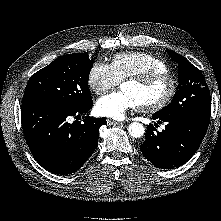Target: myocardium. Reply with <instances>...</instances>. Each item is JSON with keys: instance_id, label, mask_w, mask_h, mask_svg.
<instances>
[{"instance_id": "obj_1", "label": "myocardium", "mask_w": 221, "mask_h": 221, "mask_svg": "<svg viewBox=\"0 0 221 221\" xmlns=\"http://www.w3.org/2000/svg\"><path fill=\"white\" fill-rule=\"evenodd\" d=\"M164 80L168 83V91L165 96L158 102L151 105H139L140 111L145 113H155L165 108L174 98L177 91V80L168 71L164 72H150L143 75L132 76L124 80L126 82H132L139 86H148L157 81Z\"/></svg>"}]
</instances>
